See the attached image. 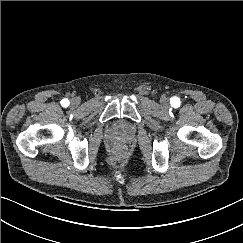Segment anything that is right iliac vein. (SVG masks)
Wrapping results in <instances>:
<instances>
[{"instance_id":"right-iliac-vein-1","label":"right iliac vein","mask_w":243,"mask_h":243,"mask_svg":"<svg viewBox=\"0 0 243 243\" xmlns=\"http://www.w3.org/2000/svg\"><path fill=\"white\" fill-rule=\"evenodd\" d=\"M71 104H72L73 106H76V105L79 104V100H78V99H73V100L71 101Z\"/></svg>"}]
</instances>
